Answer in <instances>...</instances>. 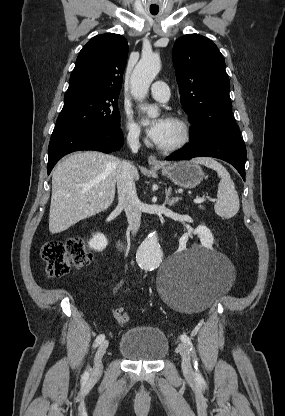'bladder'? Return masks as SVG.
<instances>
[{
  "instance_id": "obj_1",
  "label": "bladder",
  "mask_w": 285,
  "mask_h": 416,
  "mask_svg": "<svg viewBox=\"0 0 285 416\" xmlns=\"http://www.w3.org/2000/svg\"><path fill=\"white\" fill-rule=\"evenodd\" d=\"M118 351L129 361L156 362L168 354V338L155 326L139 325L124 331Z\"/></svg>"
}]
</instances>
